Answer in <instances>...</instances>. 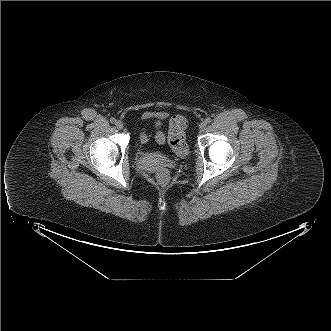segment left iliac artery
<instances>
[{"label":"left iliac artery","instance_id":"44dca946","mask_svg":"<svg viewBox=\"0 0 331 331\" xmlns=\"http://www.w3.org/2000/svg\"><path fill=\"white\" fill-rule=\"evenodd\" d=\"M211 121H212V120H211L210 117H207V118L205 119V123H207V124H209Z\"/></svg>","mask_w":331,"mask_h":331}]
</instances>
